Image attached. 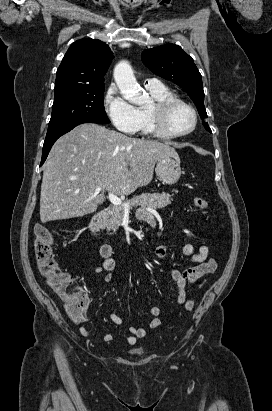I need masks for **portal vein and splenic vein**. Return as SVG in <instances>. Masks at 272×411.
<instances>
[{
  "label": "portal vein and splenic vein",
  "mask_w": 272,
  "mask_h": 411,
  "mask_svg": "<svg viewBox=\"0 0 272 411\" xmlns=\"http://www.w3.org/2000/svg\"><path fill=\"white\" fill-rule=\"evenodd\" d=\"M101 190H102L101 187L96 188V191H101ZM108 197H109V200L111 201V203L114 204L115 206H122L125 211L129 210L130 205L128 203L122 202V200L117 195H115L114 193L109 192Z\"/></svg>",
  "instance_id": "obj_1"
}]
</instances>
